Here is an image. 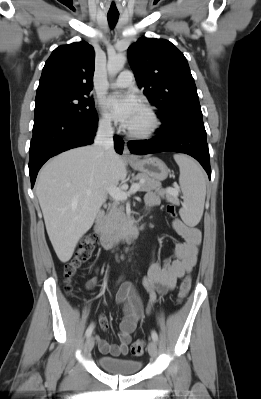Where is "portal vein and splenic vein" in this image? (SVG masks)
<instances>
[{"instance_id": "portal-vein-and-splenic-vein-1", "label": "portal vein and splenic vein", "mask_w": 261, "mask_h": 399, "mask_svg": "<svg viewBox=\"0 0 261 399\" xmlns=\"http://www.w3.org/2000/svg\"><path fill=\"white\" fill-rule=\"evenodd\" d=\"M139 189H140V184L134 183L131 185L129 191H123V190L119 189L118 187L112 186V187H109L108 193L115 200L125 201L128 196L136 193ZM168 192L173 195H178V190H176V189L169 188ZM90 193H91V191L88 190L87 194H90Z\"/></svg>"}]
</instances>
